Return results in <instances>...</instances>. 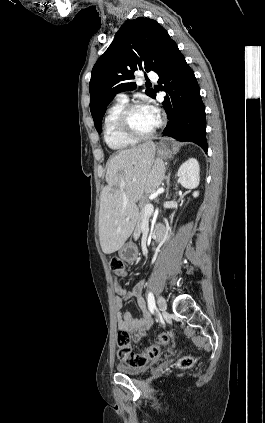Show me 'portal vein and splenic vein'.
<instances>
[{
    "label": "portal vein and splenic vein",
    "mask_w": 265,
    "mask_h": 423,
    "mask_svg": "<svg viewBox=\"0 0 265 423\" xmlns=\"http://www.w3.org/2000/svg\"><path fill=\"white\" fill-rule=\"evenodd\" d=\"M146 216H150L154 211V206L151 203H148L144 208Z\"/></svg>",
    "instance_id": "1"
}]
</instances>
